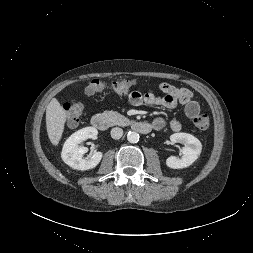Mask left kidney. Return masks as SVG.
Listing matches in <instances>:
<instances>
[{"instance_id":"left-kidney-1","label":"left kidney","mask_w":253,"mask_h":253,"mask_svg":"<svg viewBox=\"0 0 253 253\" xmlns=\"http://www.w3.org/2000/svg\"><path fill=\"white\" fill-rule=\"evenodd\" d=\"M172 143H181L184 145L181 152L182 158L170 156L166 160V165L172 169H182L190 166L196 161L201 153V142L191 134L188 133H174L170 136Z\"/></svg>"}]
</instances>
